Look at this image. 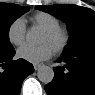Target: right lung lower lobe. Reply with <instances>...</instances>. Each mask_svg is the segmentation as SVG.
<instances>
[{
  "label": "right lung lower lobe",
  "mask_w": 95,
  "mask_h": 95,
  "mask_svg": "<svg viewBox=\"0 0 95 95\" xmlns=\"http://www.w3.org/2000/svg\"><path fill=\"white\" fill-rule=\"evenodd\" d=\"M14 55L15 50L0 55V95H19L23 80L34 71L24 59L13 61Z\"/></svg>",
  "instance_id": "1"
}]
</instances>
